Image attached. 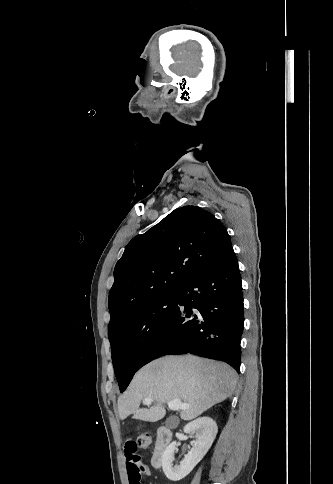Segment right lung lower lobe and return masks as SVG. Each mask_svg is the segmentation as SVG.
Listing matches in <instances>:
<instances>
[{"mask_svg": "<svg viewBox=\"0 0 333 484\" xmlns=\"http://www.w3.org/2000/svg\"><path fill=\"white\" fill-rule=\"evenodd\" d=\"M243 323L240 270L229 246L179 291L176 309L146 346L136 371L160 356L191 353L223 360L239 372Z\"/></svg>", "mask_w": 333, "mask_h": 484, "instance_id": "1", "label": "right lung lower lobe"}]
</instances>
